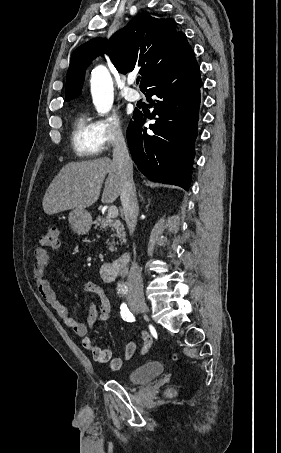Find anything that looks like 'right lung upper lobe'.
Listing matches in <instances>:
<instances>
[{
	"label": "right lung upper lobe",
	"mask_w": 281,
	"mask_h": 453,
	"mask_svg": "<svg viewBox=\"0 0 281 453\" xmlns=\"http://www.w3.org/2000/svg\"><path fill=\"white\" fill-rule=\"evenodd\" d=\"M104 51L121 73L139 69L140 89L170 69L192 51L184 33L171 18H157L148 12L136 15L109 41H89L71 57L66 78V100L80 93L87 65Z\"/></svg>",
	"instance_id": "cb5924a9"
}]
</instances>
